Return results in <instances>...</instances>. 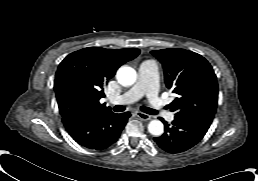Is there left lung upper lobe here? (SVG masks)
<instances>
[{
	"instance_id": "obj_1",
	"label": "left lung upper lobe",
	"mask_w": 258,
	"mask_h": 181,
	"mask_svg": "<svg viewBox=\"0 0 258 181\" xmlns=\"http://www.w3.org/2000/svg\"><path fill=\"white\" fill-rule=\"evenodd\" d=\"M151 53L162 63L165 83L177 94L169 105L175 116L212 122L218 96L216 75L201 55L184 49H162Z\"/></svg>"
}]
</instances>
